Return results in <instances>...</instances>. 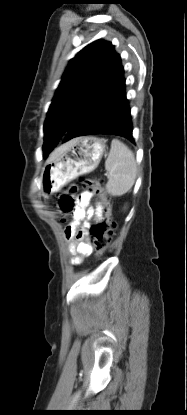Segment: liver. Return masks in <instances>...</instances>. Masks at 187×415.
I'll return each instance as SVG.
<instances>
[{"label":"liver","instance_id":"6515ba94","mask_svg":"<svg viewBox=\"0 0 187 415\" xmlns=\"http://www.w3.org/2000/svg\"><path fill=\"white\" fill-rule=\"evenodd\" d=\"M71 145V141L60 146L59 148L55 149L52 154L50 155L49 161L54 160L57 158L62 152H64L66 149H68Z\"/></svg>","mask_w":187,"mask_h":415}]
</instances>
